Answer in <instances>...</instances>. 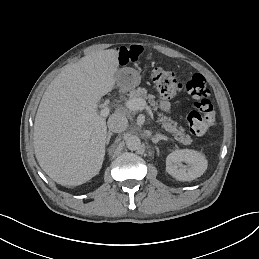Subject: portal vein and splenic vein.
Wrapping results in <instances>:
<instances>
[{
    "label": "portal vein and splenic vein",
    "instance_id": "obj_1",
    "mask_svg": "<svg viewBox=\"0 0 259 259\" xmlns=\"http://www.w3.org/2000/svg\"><path fill=\"white\" fill-rule=\"evenodd\" d=\"M126 107L132 111H136V110H143L147 107L146 101L145 99L142 98H134V99H129L126 103H125ZM100 115L102 117H107L109 115V108L108 107H104L101 110Z\"/></svg>",
    "mask_w": 259,
    "mask_h": 259
}]
</instances>
